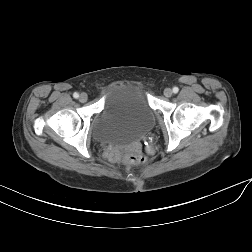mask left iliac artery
<instances>
[{"label": "left iliac artery", "instance_id": "44dca946", "mask_svg": "<svg viewBox=\"0 0 252 252\" xmlns=\"http://www.w3.org/2000/svg\"><path fill=\"white\" fill-rule=\"evenodd\" d=\"M179 88L178 87H173V93H178Z\"/></svg>", "mask_w": 252, "mask_h": 252}]
</instances>
